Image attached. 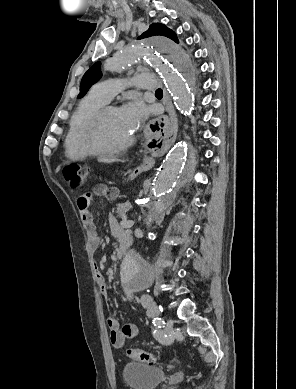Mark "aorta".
Listing matches in <instances>:
<instances>
[{"label":"aorta","instance_id":"aorta-1","mask_svg":"<svg viewBox=\"0 0 296 389\" xmlns=\"http://www.w3.org/2000/svg\"><path fill=\"white\" fill-rule=\"evenodd\" d=\"M134 62L155 66L173 96L176 108L185 115L191 114L197 95L194 87L197 70L192 67L189 57L179 46L165 38H151L130 44L119 49L106 61L105 70L121 73ZM186 163L187 146L185 143H178L167 155L152 183L147 199L150 221L157 219L170 205L175 190L185 186V179L181 175ZM153 277V266L137 251L130 250L125 255L121 264V281L127 289H147L151 286Z\"/></svg>","mask_w":296,"mask_h":389}]
</instances>
